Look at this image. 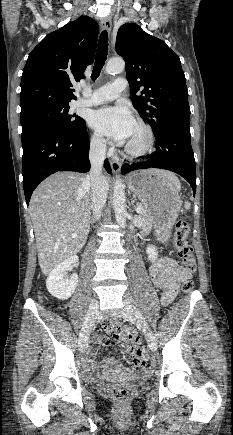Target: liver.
Wrapping results in <instances>:
<instances>
[{"instance_id": "6515ba94", "label": "liver", "mask_w": 233, "mask_h": 435, "mask_svg": "<svg viewBox=\"0 0 233 435\" xmlns=\"http://www.w3.org/2000/svg\"><path fill=\"white\" fill-rule=\"evenodd\" d=\"M174 178L165 170L150 169ZM91 182L83 174L57 172L33 192L30 215L35 232L39 266L44 275L84 247L90 229ZM76 233L77 237L71 235Z\"/></svg>"}]
</instances>
